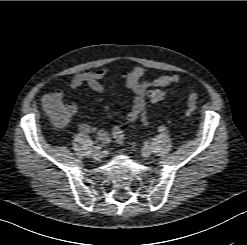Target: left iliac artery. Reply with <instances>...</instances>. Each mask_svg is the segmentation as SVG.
Returning <instances> with one entry per match:
<instances>
[{
    "label": "left iliac artery",
    "instance_id": "obj_1",
    "mask_svg": "<svg viewBox=\"0 0 247 245\" xmlns=\"http://www.w3.org/2000/svg\"><path fill=\"white\" fill-rule=\"evenodd\" d=\"M166 130V127L165 126H160L159 128H158V131L159 132H164Z\"/></svg>",
    "mask_w": 247,
    "mask_h": 245
}]
</instances>
